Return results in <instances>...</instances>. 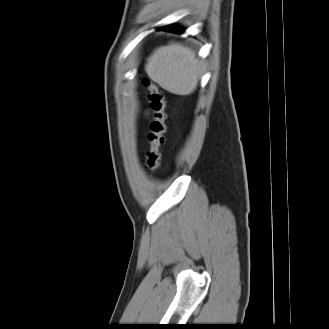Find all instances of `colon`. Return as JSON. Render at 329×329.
<instances>
[{"label":"colon","instance_id":"5ec220e1","mask_svg":"<svg viewBox=\"0 0 329 329\" xmlns=\"http://www.w3.org/2000/svg\"><path fill=\"white\" fill-rule=\"evenodd\" d=\"M143 85L148 90V101L153 113L148 133L150 146L146 152V166L151 173H155L160 165V149L165 142L166 103L163 93L155 83L144 78Z\"/></svg>","mask_w":329,"mask_h":329}]
</instances>
